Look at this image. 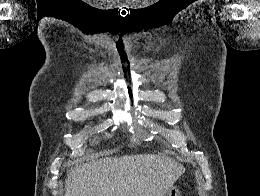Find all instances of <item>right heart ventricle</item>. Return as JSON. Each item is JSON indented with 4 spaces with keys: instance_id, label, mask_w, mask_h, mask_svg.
<instances>
[{
    "instance_id": "right-heart-ventricle-1",
    "label": "right heart ventricle",
    "mask_w": 260,
    "mask_h": 196,
    "mask_svg": "<svg viewBox=\"0 0 260 196\" xmlns=\"http://www.w3.org/2000/svg\"><path fill=\"white\" fill-rule=\"evenodd\" d=\"M114 192H152V190H114Z\"/></svg>"
}]
</instances>
